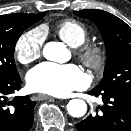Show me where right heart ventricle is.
I'll return each instance as SVG.
<instances>
[{"label": "right heart ventricle", "mask_w": 131, "mask_h": 131, "mask_svg": "<svg viewBox=\"0 0 131 131\" xmlns=\"http://www.w3.org/2000/svg\"><path fill=\"white\" fill-rule=\"evenodd\" d=\"M57 35L69 46L77 48L88 38V30L84 24L74 19L61 21L56 27Z\"/></svg>", "instance_id": "e07e8e85"}]
</instances>
